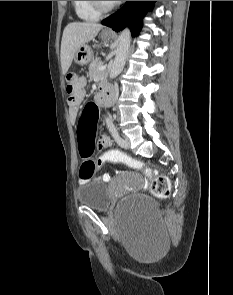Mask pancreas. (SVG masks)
Segmentation results:
<instances>
[{
	"label": "pancreas",
	"instance_id": "obj_1",
	"mask_svg": "<svg viewBox=\"0 0 233 295\" xmlns=\"http://www.w3.org/2000/svg\"><path fill=\"white\" fill-rule=\"evenodd\" d=\"M102 64H103V62L101 61L100 58L92 59L90 65H89L90 78L97 79L106 73L105 70H98L99 66H101Z\"/></svg>",
	"mask_w": 233,
	"mask_h": 295
}]
</instances>
